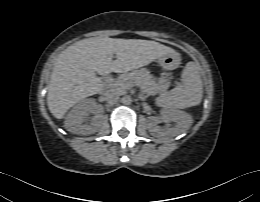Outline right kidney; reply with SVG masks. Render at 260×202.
Segmentation results:
<instances>
[{
    "instance_id": "ca27d5eb",
    "label": "right kidney",
    "mask_w": 260,
    "mask_h": 202,
    "mask_svg": "<svg viewBox=\"0 0 260 202\" xmlns=\"http://www.w3.org/2000/svg\"><path fill=\"white\" fill-rule=\"evenodd\" d=\"M90 112L94 116L88 120ZM102 118L103 107L97 104L94 99H84L67 114L65 128L73 134L90 135L98 131Z\"/></svg>"
}]
</instances>
